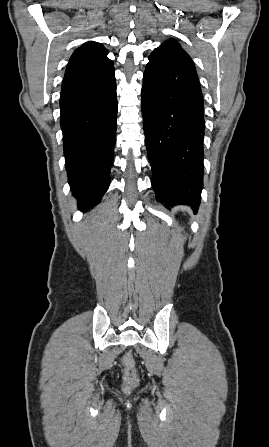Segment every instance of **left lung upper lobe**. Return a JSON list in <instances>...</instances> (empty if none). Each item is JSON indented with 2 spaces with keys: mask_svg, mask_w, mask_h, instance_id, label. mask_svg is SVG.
<instances>
[{
  "mask_svg": "<svg viewBox=\"0 0 269 447\" xmlns=\"http://www.w3.org/2000/svg\"><path fill=\"white\" fill-rule=\"evenodd\" d=\"M157 49L178 51V52H181L182 54H184L185 56L189 57V55L175 41H166Z\"/></svg>",
  "mask_w": 269,
  "mask_h": 447,
  "instance_id": "5c2ea615",
  "label": "left lung upper lobe"
}]
</instances>
